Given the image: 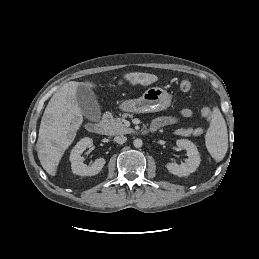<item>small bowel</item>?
<instances>
[{"instance_id": "1", "label": "small bowel", "mask_w": 259, "mask_h": 259, "mask_svg": "<svg viewBox=\"0 0 259 259\" xmlns=\"http://www.w3.org/2000/svg\"><path fill=\"white\" fill-rule=\"evenodd\" d=\"M191 114H192V111L188 108H184L181 111L182 117H189V116H191ZM176 121H177V117H175V116H162V117H159L156 120H154L152 123V126L159 129L163 126L171 125V124L175 123Z\"/></svg>"}]
</instances>
